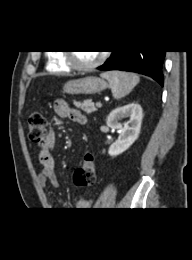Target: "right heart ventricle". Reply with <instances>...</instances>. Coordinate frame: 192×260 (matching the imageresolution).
Wrapping results in <instances>:
<instances>
[{
    "label": "right heart ventricle",
    "instance_id": "1",
    "mask_svg": "<svg viewBox=\"0 0 192 260\" xmlns=\"http://www.w3.org/2000/svg\"><path fill=\"white\" fill-rule=\"evenodd\" d=\"M47 69L50 72L66 73L71 67L64 60V56L60 52H53L48 55Z\"/></svg>",
    "mask_w": 192,
    "mask_h": 260
}]
</instances>
